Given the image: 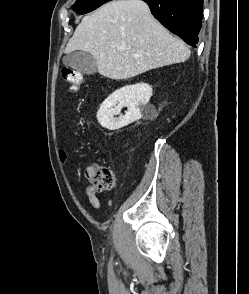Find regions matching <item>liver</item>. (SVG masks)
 <instances>
[{
    "instance_id": "obj_1",
    "label": "liver",
    "mask_w": 249,
    "mask_h": 294,
    "mask_svg": "<svg viewBox=\"0 0 249 294\" xmlns=\"http://www.w3.org/2000/svg\"><path fill=\"white\" fill-rule=\"evenodd\" d=\"M77 50L90 53L98 73L115 80L190 57L184 42L156 21L142 0H114L85 16L64 52Z\"/></svg>"
}]
</instances>
